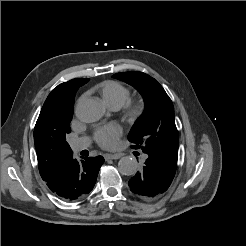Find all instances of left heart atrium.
<instances>
[{
	"label": "left heart atrium",
	"instance_id": "1",
	"mask_svg": "<svg viewBox=\"0 0 246 246\" xmlns=\"http://www.w3.org/2000/svg\"><path fill=\"white\" fill-rule=\"evenodd\" d=\"M121 135L122 129L117 124L100 126L94 133L96 142L105 149L113 148Z\"/></svg>",
	"mask_w": 246,
	"mask_h": 246
}]
</instances>
